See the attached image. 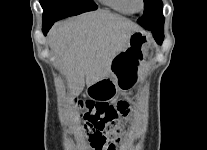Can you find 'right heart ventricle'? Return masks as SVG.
Here are the masks:
<instances>
[{
	"instance_id": "e07e8e85",
	"label": "right heart ventricle",
	"mask_w": 207,
	"mask_h": 150,
	"mask_svg": "<svg viewBox=\"0 0 207 150\" xmlns=\"http://www.w3.org/2000/svg\"><path fill=\"white\" fill-rule=\"evenodd\" d=\"M105 6L109 7L110 9L124 14L130 15L133 12L131 9L128 0H100Z\"/></svg>"
}]
</instances>
